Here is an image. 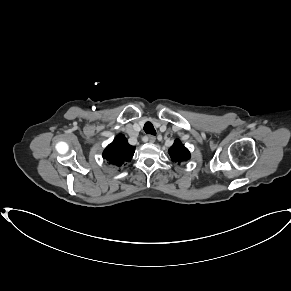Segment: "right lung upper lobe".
Here are the masks:
<instances>
[{"label":"right lung upper lobe","mask_w":291,"mask_h":291,"mask_svg":"<svg viewBox=\"0 0 291 291\" xmlns=\"http://www.w3.org/2000/svg\"><path fill=\"white\" fill-rule=\"evenodd\" d=\"M134 152L135 147L131 146L125 136L120 134L106 147L103 152V158L110 164L121 167L124 163L131 160Z\"/></svg>","instance_id":"1"}]
</instances>
